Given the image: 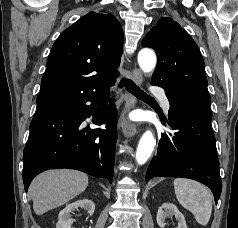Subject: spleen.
Masks as SVG:
<instances>
[{"mask_svg":"<svg viewBox=\"0 0 238 228\" xmlns=\"http://www.w3.org/2000/svg\"><path fill=\"white\" fill-rule=\"evenodd\" d=\"M174 188L179 203L194 215L200 225H207L213 201L209 189L197 181L186 178H176Z\"/></svg>","mask_w":238,"mask_h":228,"instance_id":"3e777b00","label":"spleen"}]
</instances>
